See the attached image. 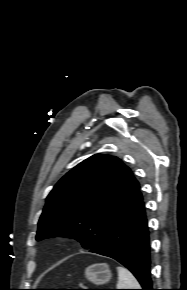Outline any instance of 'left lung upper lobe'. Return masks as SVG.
<instances>
[{"mask_svg":"<svg viewBox=\"0 0 187 290\" xmlns=\"http://www.w3.org/2000/svg\"><path fill=\"white\" fill-rule=\"evenodd\" d=\"M139 188L132 171L119 158L101 154L89 157L48 195L36 240L73 237L92 250L111 231Z\"/></svg>","mask_w":187,"mask_h":290,"instance_id":"5c2ea615","label":"left lung upper lobe"}]
</instances>
